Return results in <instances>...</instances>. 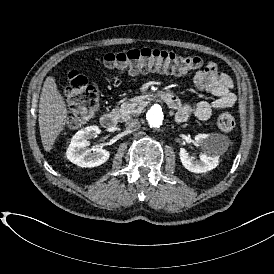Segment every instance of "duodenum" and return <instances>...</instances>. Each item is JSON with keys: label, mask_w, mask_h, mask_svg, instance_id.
<instances>
[{"label": "duodenum", "mask_w": 274, "mask_h": 274, "mask_svg": "<svg viewBox=\"0 0 274 274\" xmlns=\"http://www.w3.org/2000/svg\"><path fill=\"white\" fill-rule=\"evenodd\" d=\"M153 96L163 100L169 106V108L173 110H176L180 106L179 98L176 95L171 94L167 91L158 90L153 93L146 94L144 98H151ZM100 122L103 128L107 130H114L118 126L119 117L115 113L106 112L102 114Z\"/></svg>", "instance_id": "1"}]
</instances>
